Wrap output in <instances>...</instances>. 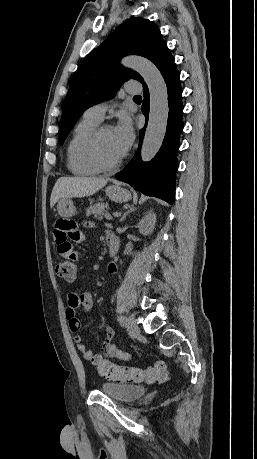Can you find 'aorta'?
Masks as SVG:
<instances>
[{
    "label": "aorta",
    "mask_w": 257,
    "mask_h": 459,
    "mask_svg": "<svg viewBox=\"0 0 257 459\" xmlns=\"http://www.w3.org/2000/svg\"><path fill=\"white\" fill-rule=\"evenodd\" d=\"M123 65L134 68L144 79L150 93L149 121L145 132L141 158L150 161L162 146L168 121V92L158 68L142 57H127Z\"/></svg>",
    "instance_id": "aorta-1"
}]
</instances>
